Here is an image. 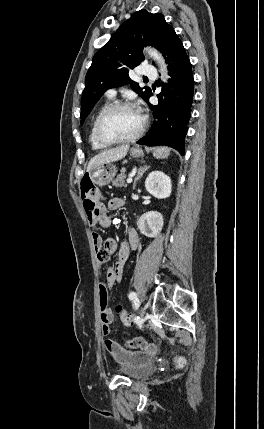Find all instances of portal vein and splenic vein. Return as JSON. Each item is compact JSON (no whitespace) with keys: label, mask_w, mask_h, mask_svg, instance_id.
Returning <instances> with one entry per match:
<instances>
[{"label":"portal vein and splenic vein","mask_w":264,"mask_h":429,"mask_svg":"<svg viewBox=\"0 0 264 429\" xmlns=\"http://www.w3.org/2000/svg\"><path fill=\"white\" fill-rule=\"evenodd\" d=\"M132 182V177H129L128 179H127V183H131Z\"/></svg>","instance_id":"obj_1"}]
</instances>
